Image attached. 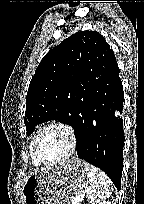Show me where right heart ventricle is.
Returning a JSON list of instances; mask_svg holds the SVG:
<instances>
[{
  "instance_id": "obj_1",
  "label": "right heart ventricle",
  "mask_w": 144,
  "mask_h": 204,
  "mask_svg": "<svg viewBox=\"0 0 144 204\" xmlns=\"http://www.w3.org/2000/svg\"><path fill=\"white\" fill-rule=\"evenodd\" d=\"M31 145H32V141H31L30 147H29L32 163H33L34 165H36V166H39L40 164H39V163L33 158V156H32V153H31Z\"/></svg>"
}]
</instances>
